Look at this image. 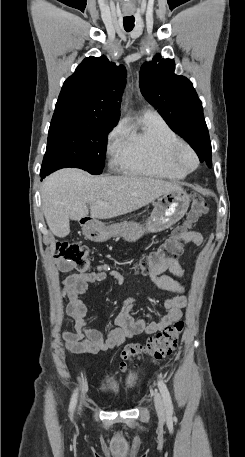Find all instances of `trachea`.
<instances>
[{"label":"trachea","mask_w":245,"mask_h":457,"mask_svg":"<svg viewBox=\"0 0 245 457\" xmlns=\"http://www.w3.org/2000/svg\"><path fill=\"white\" fill-rule=\"evenodd\" d=\"M123 25H124V29L126 30V32H131V30H133V28H134L133 15H130L129 17H124Z\"/></svg>","instance_id":"1"}]
</instances>
